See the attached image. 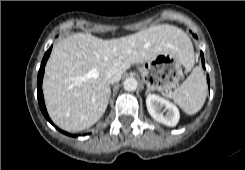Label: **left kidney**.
Segmentation results:
<instances>
[{
    "label": "left kidney",
    "mask_w": 245,
    "mask_h": 170,
    "mask_svg": "<svg viewBox=\"0 0 245 170\" xmlns=\"http://www.w3.org/2000/svg\"><path fill=\"white\" fill-rule=\"evenodd\" d=\"M146 106L154 120L170 127L177 125L180 113L178 108L170 101L158 95L149 94L146 98ZM163 107L167 110L165 115L162 112Z\"/></svg>",
    "instance_id": "1"
}]
</instances>
